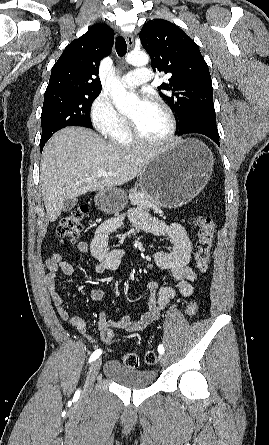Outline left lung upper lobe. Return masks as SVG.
<instances>
[{"instance_id":"1","label":"left lung upper lobe","mask_w":269,"mask_h":445,"mask_svg":"<svg viewBox=\"0 0 269 445\" xmlns=\"http://www.w3.org/2000/svg\"><path fill=\"white\" fill-rule=\"evenodd\" d=\"M140 40L154 71L171 74L169 83L158 89L166 91L160 96L176 112L180 130L197 120H216L210 72L194 41L175 24L161 19L147 22Z\"/></svg>"}]
</instances>
